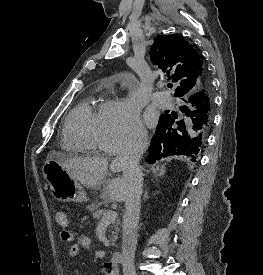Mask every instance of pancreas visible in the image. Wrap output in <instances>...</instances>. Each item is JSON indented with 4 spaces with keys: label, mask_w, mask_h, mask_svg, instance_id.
I'll return each instance as SVG.
<instances>
[{
    "label": "pancreas",
    "mask_w": 263,
    "mask_h": 275,
    "mask_svg": "<svg viewBox=\"0 0 263 275\" xmlns=\"http://www.w3.org/2000/svg\"><path fill=\"white\" fill-rule=\"evenodd\" d=\"M99 206H100L99 203L91 204L89 206V209L93 212L92 216L96 220H100L104 216V214L108 212V210H105V209H98ZM112 227L114 228V230L111 229L109 231V232H111L110 239L113 242H115L118 238V233H119L118 224L113 223Z\"/></svg>",
    "instance_id": "cf45deb5"
}]
</instances>
